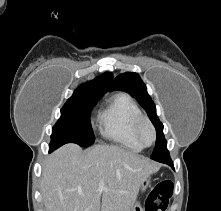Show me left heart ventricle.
Wrapping results in <instances>:
<instances>
[{
  "label": "left heart ventricle",
  "mask_w": 221,
  "mask_h": 211,
  "mask_svg": "<svg viewBox=\"0 0 221 211\" xmlns=\"http://www.w3.org/2000/svg\"><path fill=\"white\" fill-rule=\"evenodd\" d=\"M143 137H144V139H145V141L147 142V143H150L151 141H152V133H151V131H150V129L149 128H145L144 129V131H143Z\"/></svg>",
  "instance_id": "1"
}]
</instances>
